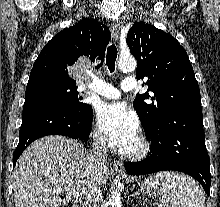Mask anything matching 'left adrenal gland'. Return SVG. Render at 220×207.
<instances>
[{"label": "left adrenal gland", "mask_w": 220, "mask_h": 207, "mask_svg": "<svg viewBox=\"0 0 220 207\" xmlns=\"http://www.w3.org/2000/svg\"><path fill=\"white\" fill-rule=\"evenodd\" d=\"M139 194H140V192L136 191V192H134V194H132V197L135 198V197L139 196Z\"/></svg>", "instance_id": "obj_1"}]
</instances>
